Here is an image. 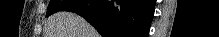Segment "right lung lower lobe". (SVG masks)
Wrapping results in <instances>:
<instances>
[{
  "label": "right lung lower lobe",
  "instance_id": "1",
  "mask_svg": "<svg viewBox=\"0 0 219 37\" xmlns=\"http://www.w3.org/2000/svg\"><path fill=\"white\" fill-rule=\"evenodd\" d=\"M155 0H78L62 11L86 19L103 37H147Z\"/></svg>",
  "mask_w": 219,
  "mask_h": 37
}]
</instances>
